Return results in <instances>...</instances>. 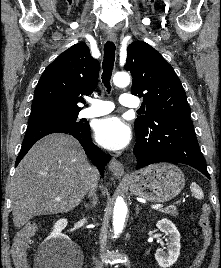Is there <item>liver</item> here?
Wrapping results in <instances>:
<instances>
[{"label": "liver", "mask_w": 221, "mask_h": 268, "mask_svg": "<svg viewBox=\"0 0 221 268\" xmlns=\"http://www.w3.org/2000/svg\"><path fill=\"white\" fill-rule=\"evenodd\" d=\"M97 179L76 139L60 133L42 138L19 163L12 181L14 226L74 209Z\"/></svg>", "instance_id": "liver-1"}]
</instances>
